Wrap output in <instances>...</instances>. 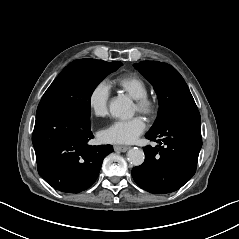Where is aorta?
<instances>
[{
  "mask_svg": "<svg viewBox=\"0 0 239 239\" xmlns=\"http://www.w3.org/2000/svg\"><path fill=\"white\" fill-rule=\"evenodd\" d=\"M109 111L113 117L127 120L134 116L135 108L133 101L130 98L127 96H119L110 101ZM127 157L134 166H140L144 162L145 154L143 150L133 148L127 152Z\"/></svg>",
  "mask_w": 239,
  "mask_h": 239,
  "instance_id": "aorta-1",
  "label": "aorta"
}]
</instances>
